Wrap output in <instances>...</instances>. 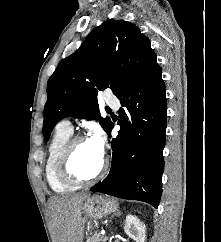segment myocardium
<instances>
[{
  "mask_svg": "<svg viewBox=\"0 0 221 242\" xmlns=\"http://www.w3.org/2000/svg\"><path fill=\"white\" fill-rule=\"evenodd\" d=\"M87 140L85 136L78 135L71 138L65 145L58 163V174L60 178L66 183L79 186L88 185L96 182L105 174L108 167V160L105 156L102 158L101 165L98 171L91 177L84 178L77 175L72 168V159L74 155L75 148L78 143Z\"/></svg>",
  "mask_w": 221,
  "mask_h": 242,
  "instance_id": "myocardium-1",
  "label": "myocardium"
}]
</instances>
